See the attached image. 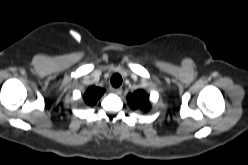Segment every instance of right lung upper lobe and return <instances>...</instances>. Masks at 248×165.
I'll return each mask as SVG.
<instances>
[{"instance_id": "obj_1", "label": "right lung upper lobe", "mask_w": 248, "mask_h": 165, "mask_svg": "<svg viewBox=\"0 0 248 165\" xmlns=\"http://www.w3.org/2000/svg\"><path fill=\"white\" fill-rule=\"evenodd\" d=\"M104 89L92 86L87 89L84 95V101L86 104L91 105L103 95Z\"/></svg>"}]
</instances>
